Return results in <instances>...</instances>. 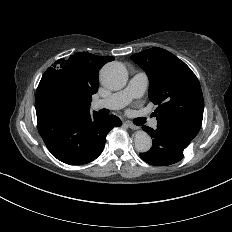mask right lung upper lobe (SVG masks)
<instances>
[{
  "label": "right lung upper lobe",
  "mask_w": 232,
  "mask_h": 232,
  "mask_svg": "<svg viewBox=\"0 0 232 232\" xmlns=\"http://www.w3.org/2000/svg\"><path fill=\"white\" fill-rule=\"evenodd\" d=\"M112 56H97L89 52L76 53L68 59L57 60L53 67L46 70L36 91V108L55 105L45 94L44 84L47 76L57 74L69 80L85 102L91 103V96L98 90V72Z\"/></svg>",
  "instance_id": "1"
}]
</instances>
